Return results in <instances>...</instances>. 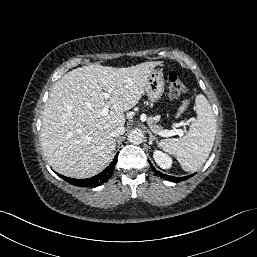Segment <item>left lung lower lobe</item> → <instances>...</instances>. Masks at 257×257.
Instances as JSON below:
<instances>
[{
  "label": "left lung lower lobe",
  "mask_w": 257,
  "mask_h": 257,
  "mask_svg": "<svg viewBox=\"0 0 257 257\" xmlns=\"http://www.w3.org/2000/svg\"><path fill=\"white\" fill-rule=\"evenodd\" d=\"M151 167L153 168V170L158 174L160 175L161 177H163L164 179L166 180H169V181H172V182H180V181H183V180H186L190 177H192L193 175H189V176H186V177H172V176H168V175H165L159 171H157L154 166L150 163Z\"/></svg>",
  "instance_id": "1"
}]
</instances>
